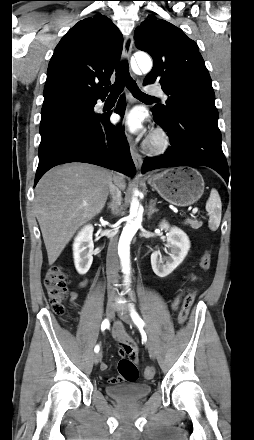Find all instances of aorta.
Listing matches in <instances>:
<instances>
[{
    "label": "aorta",
    "mask_w": 254,
    "mask_h": 440,
    "mask_svg": "<svg viewBox=\"0 0 254 440\" xmlns=\"http://www.w3.org/2000/svg\"><path fill=\"white\" fill-rule=\"evenodd\" d=\"M138 67L143 73H148L152 69V60L149 55L145 53H138L135 55ZM143 218V208L138 200L134 198L130 207V214L128 216L126 225L123 228L118 243V255L122 267V272L126 278L130 275V243L141 227Z\"/></svg>",
    "instance_id": "aorta-1"
}]
</instances>
